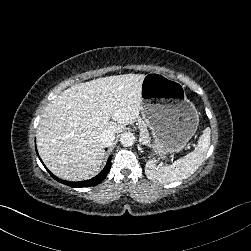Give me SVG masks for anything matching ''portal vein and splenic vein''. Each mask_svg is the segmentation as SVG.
<instances>
[{
  "instance_id": "obj_1",
  "label": "portal vein and splenic vein",
  "mask_w": 251,
  "mask_h": 251,
  "mask_svg": "<svg viewBox=\"0 0 251 251\" xmlns=\"http://www.w3.org/2000/svg\"><path fill=\"white\" fill-rule=\"evenodd\" d=\"M142 139L140 138V141H141ZM168 158L166 159V162L168 163V164H171V163H173L174 161H175V159H176V153L174 152V151H170L169 153H168Z\"/></svg>"
}]
</instances>
